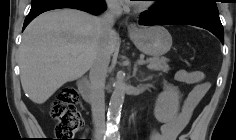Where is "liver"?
I'll return each mask as SVG.
<instances>
[{
    "label": "liver",
    "mask_w": 236,
    "mask_h": 140,
    "mask_svg": "<svg viewBox=\"0 0 236 140\" xmlns=\"http://www.w3.org/2000/svg\"><path fill=\"white\" fill-rule=\"evenodd\" d=\"M101 43L100 18L76 9L45 12L25 29L19 47L20 79L31 101L45 103L61 86L82 77ZM120 46L114 32L113 53Z\"/></svg>",
    "instance_id": "obj_1"
}]
</instances>
